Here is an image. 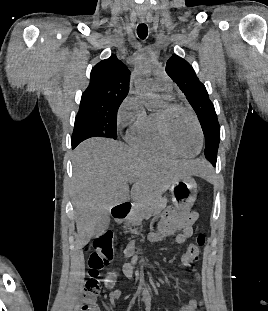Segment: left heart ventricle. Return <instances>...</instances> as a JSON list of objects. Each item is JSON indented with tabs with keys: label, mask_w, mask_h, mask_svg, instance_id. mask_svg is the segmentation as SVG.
<instances>
[{
	"label": "left heart ventricle",
	"mask_w": 268,
	"mask_h": 311,
	"mask_svg": "<svg viewBox=\"0 0 268 311\" xmlns=\"http://www.w3.org/2000/svg\"><path fill=\"white\" fill-rule=\"evenodd\" d=\"M168 133L174 145L186 154L199 148V134L192 118L184 111H174L168 118Z\"/></svg>",
	"instance_id": "b2bd125f"
}]
</instances>
